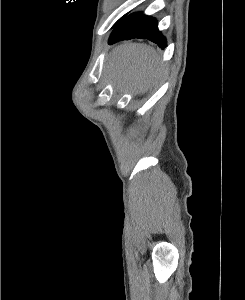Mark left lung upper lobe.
I'll use <instances>...</instances> for the list:
<instances>
[{
  "mask_svg": "<svg viewBox=\"0 0 245 300\" xmlns=\"http://www.w3.org/2000/svg\"><path fill=\"white\" fill-rule=\"evenodd\" d=\"M123 17H124V16H123ZM123 17H122V18H123ZM122 18H120L118 21H120ZM118 21H117V22H118ZM117 22H116V23H117Z\"/></svg>",
  "mask_w": 245,
  "mask_h": 300,
  "instance_id": "obj_1",
  "label": "left lung upper lobe"
}]
</instances>
